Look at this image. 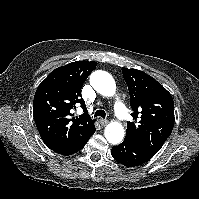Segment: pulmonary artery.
Segmentation results:
<instances>
[{"mask_svg":"<svg viewBox=\"0 0 199 199\" xmlns=\"http://www.w3.org/2000/svg\"><path fill=\"white\" fill-rule=\"evenodd\" d=\"M114 110L119 118L126 119L128 117L127 109L120 97H115Z\"/></svg>","mask_w":199,"mask_h":199,"instance_id":"pulmonary-artery-1","label":"pulmonary artery"}]
</instances>
